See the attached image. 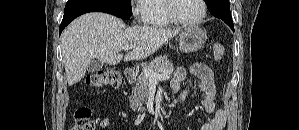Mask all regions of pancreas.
<instances>
[{
    "label": "pancreas",
    "instance_id": "cf45deb5",
    "mask_svg": "<svg viewBox=\"0 0 299 130\" xmlns=\"http://www.w3.org/2000/svg\"><path fill=\"white\" fill-rule=\"evenodd\" d=\"M146 70H151L158 74L163 73L170 75L174 71V65L170 62L168 56H159L145 66L142 72L135 78V86L129 96V102L133 111L141 113L145 111L144 104L147 103L150 89V81L145 75Z\"/></svg>",
    "mask_w": 299,
    "mask_h": 130
}]
</instances>
